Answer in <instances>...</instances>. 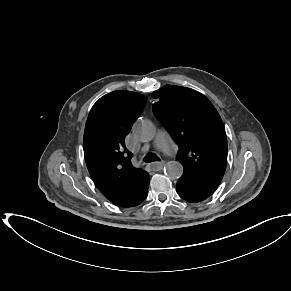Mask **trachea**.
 <instances>
[{
  "instance_id": "trachea-1",
  "label": "trachea",
  "mask_w": 291,
  "mask_h": 291,
  "mask_svg": "<svg viewBox=\"0 0 291 291\" xmlns=\"http://www.w3.org/2000/svg\"><path fill=\"white\" fill-rule=\"evenodd\" d=\"M144 161L150 163L154 161H160V158L155 153H149L147 156H145Z\"/></svg>"
}]
</instances>
